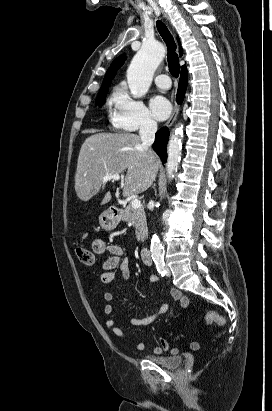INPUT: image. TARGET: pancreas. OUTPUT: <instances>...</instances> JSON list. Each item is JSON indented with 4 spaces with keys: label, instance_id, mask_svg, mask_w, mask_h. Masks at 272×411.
Instances as JSON below:
<instances>
[{
    "label": "pancreas",
    "instance_id": "cf45deb5",
    "mask_svg": "<svg viewBox=\"0 0 272 411\" xmlns=\"http://www.w3.org/2000/svg\"><path fill=\"white\" fill-rule=\"evenodd\" d=\"M122 221L134 223L135 234L138 241H143L147 234V223L144 207L140 206L134 209L129 204L123 211Z\"/></svg>",
    "mask_w": 272,
    "mask_h": 411
}]
</instances>
